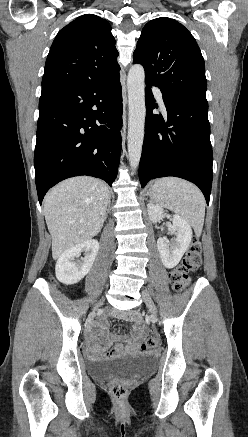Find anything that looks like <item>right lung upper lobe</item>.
Here are the masks:
<instances>
[{"label":"right lung upper lobe","mask_w":248,"mask_h":437,"mask_svg":"<svg viewBox=\"0 0 248 437\" xmlns=\"http://www.w3.org/2000/svg\"><path fill=\"white\" fill-rule=\"evenodd\" d=\"M118 51L111 26L94 14H85L66 25L50 48L42 88L81 86L99 82L119 72Z\"/></svg>","instance_id":"right-lung-upper-lobe-1"}]
</instances>
